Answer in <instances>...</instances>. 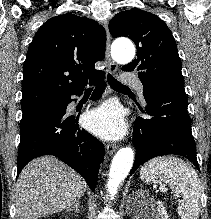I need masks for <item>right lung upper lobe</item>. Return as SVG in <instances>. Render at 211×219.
<instances>
[{
    "label": "right lung upper lobe",
    "instance_id": "cb5924a9",
    "mask_svg": "<svg viewBox=\"0 0 211 219\" xmlns=\"http://www.w3.org/2000/svg\"><path fill=\"white\" fill-rule=\"evenodd\" d=\"M105 45V30L94 20L67 13L46 21L28 48L21 105L61 100L102 75L94 64Z\"/></svg>",
    "mask_w": 211,
    "mask_h": 219
}]
</instances>
